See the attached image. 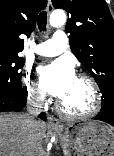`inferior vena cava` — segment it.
I'll return each mask as SVG.
<instances>
[{
	"label": "inferior vena cava",
	"mask_w": 114,
	"mask_h": 156,
	"mask_svg": "<svg viewBox=\"0 0 114 156\" xmlns=\"http://www.w3.org/2000/svg\"><path fill=\"white\" fill-rule=\"evenodd\" d=\"M43 104V94L39 92H33L29 95L27 102V117L31 121H36L37 116L42 112ZM27 156H34V154H28Z\"/></svg>",
	"instance_id": "obj_1"
}]
</instances>
